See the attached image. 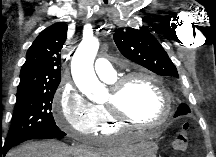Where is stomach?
<instances>
[{"mask_svg": "<svg viewBox=\"0 0 216 157\" xmlns=\"http://www.w3.org/2000/svg\"><path fill=\"white\" fill-rule=\"evenodd\" d=\"M158 145L153 141H146L142 144L139 153L135 157H156Z\"/></svg>", "mask_w": 216, "mask_h": 157, "instance_id": "obj_1", "label": "stomach"}]
</instances>
